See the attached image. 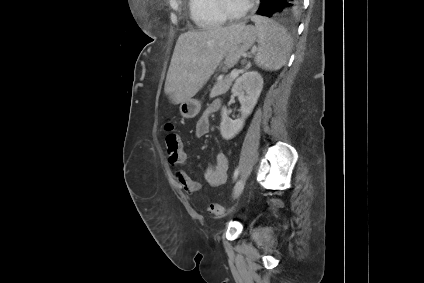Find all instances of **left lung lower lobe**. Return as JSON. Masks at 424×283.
I'll list each match as a JSON object with an SVG mask.
<instances>
[{"label":"left lung lower lobe","instance_id":"left-lung-lower-lobe-1","mask_svg":"<svg viewBox=\"0 0 424 283\" xmlns=\"http://www.w3.org/2000/svg\"><path fill=\"white\" fill-rule=\"evenodd\" d=\"M261 5L257 14L267 17L273 15H292L297 13L302 6L303 0H260Z\"/></svg>","mask_w":424,"mask_h":283}]
</instances>
